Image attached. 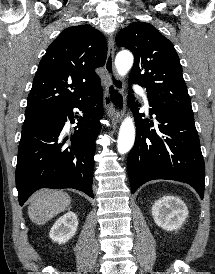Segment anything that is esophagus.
I'll list each match as a JSON object with an SVG mask.
<instances>
[{
  "mask_svg": "<svg viewBox=\"0 0 215 274\" xmlns=\"http://www.w3.org/2000/svg\"><path fill=\"white\" fill-rule=\"evenodd\" d=\"M114 39L112 36L108 40V53L105 63L107 83L105 87L106 114L109 119L119 122L125 110V97L121 78L114 68Z\"/></svg>",
  "mask_w": 215,
  "mask_h": 274,
  "instance_id": "obj_1",
  "label": "esophagus"
}]
</instances>
